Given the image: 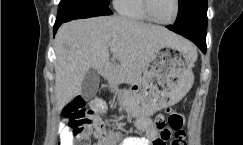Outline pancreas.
<instances>
[{
  "instance_id": "obj_1",
  "label": "pancreas",
  "mask_w": 243,
  "mask_h": 145,
  "mask_svg": "<svg viewBox=\"0 0 243 145\" xmlns=\"http://www.w3.org/2000/svg\"><path fill=\"white\" fill-rule=\"evenodd\" d=\"M139 76V73H133L125 69L122 65H117L113 68L111 80L113 83H120L123 81H132Z\"/></svg>"
}]
</instances>
